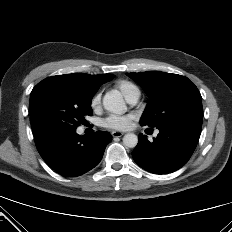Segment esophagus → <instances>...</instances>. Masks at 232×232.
<instances>
[{
    "label": "esophagus",
    "instance_id": "obj_1",
    "mask_svg": "<svg viewBox=\"0 0 232 232\" xmlns=\"http://www.w3.org/2000/svg\"><path fill=\"white\" fill-rule=\"evenodd\" d=\"M111 134L113 137H121L124 133L120 131H112Z\"/></svg>",
    "mask_w": 232,
    "mask_h": 232
}]
</instances>
